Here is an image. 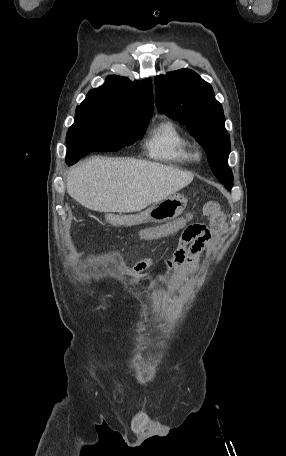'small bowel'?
Returning a JSON list of instances; mask_svg holds the SVG:
<instances>
[{"label": "small bowel", "instance_id": "obj_1", "mask_svg": "<svg viewBox=\"0 0 286 456\" xmlns=\"http://www.w3.org/2000/svg\"><path fill=\"white\" fill-rule=\"evenodd\" d=\"M209 215L211 219L210 227L200 223L186 226L194 217L193 214H188L170 223L141 230L140 237L146 240L164 238L183 230L172 257L165 260L162 264L164 272L175 268L178 276L182 277L185 266L193 272L196 271L200 254L205 249L210 248L214 241L213 231H219L225 223V215L219 209L210 212ZM84 252L82 249L76 250L73 253V258L80 257ZM152 263V258L140 260L134 265L133 274L135 276L142 274Z\"/></svg>", "mask_w": 286, "mask_h": 456}]
</instances>
